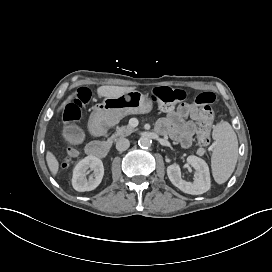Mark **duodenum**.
<instances>
[{
  "label": "duodenum",
  "mask_w": 272,
  "mask_h": 272,
  "mask_svg": "<svg viewBox=\"0 0 272 272\" xmlns=\"http://www.w3.org/2000/svg\"><path fill=\"white\" fill-rule=\"evenodd\" d=\"M108 116L104 107H98L90 120V130L95 136H102L106 132ZM110 146L100 141H92L86 147L87 155L96 158H104L108 155Z\"/></svg>",
  "instance_id": "duodenum-1"
}]
</instances>
